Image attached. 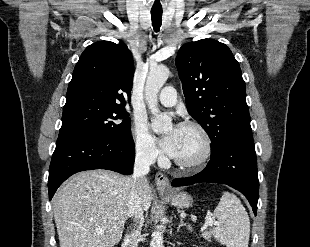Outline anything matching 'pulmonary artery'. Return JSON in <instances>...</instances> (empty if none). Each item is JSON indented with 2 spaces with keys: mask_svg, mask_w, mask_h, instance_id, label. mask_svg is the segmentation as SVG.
I'll return each instance as SVG.
<instances>
[{
  "mask_svg": "<svg viewBox=\"0 0 310 247\" xmlns=\"http://www.w3.org/2000/svg\"><path fill=\"white\" fill-rule=\"evenodd\" d=\"M159 101L162 105L172 107L177 103V93L173 87H165L159 95Z\"/></svg>",
  "mask_w": 310,
  "mask_h": 247,
  "instance_id": "pulmonary-artery-1",
  "label": "pulmonary artery"
}]
</instances>
